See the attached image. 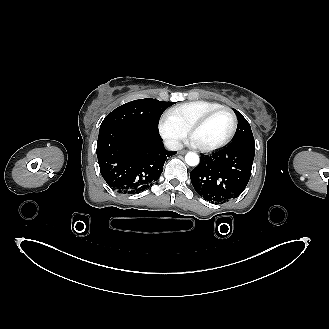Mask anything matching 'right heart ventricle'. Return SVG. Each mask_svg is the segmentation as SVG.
<instances>
[{
	"label": "right heart ventricle",
	"mask_w": 329,
	"mask_h": 329,
	"mask_svg": "<svg viewBox=\"0 0 329 329\" xmlns=\"http://www.w3.org/2000/svg\"><path fill=\"white\" fill-rule=\"evenodd\" d=\"M223 105L217 102L198 100L187 102L171 108L167 114L173 117L187 131L190 126L209 113L210 111L220 108Z\"/></svg>",
	"instance_id": "1"
}]
</instances>
